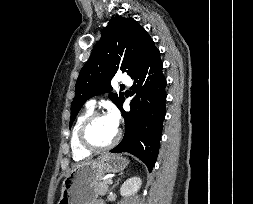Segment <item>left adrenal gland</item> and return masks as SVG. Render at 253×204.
<instances>
[{
	"label": "left adrenal gland",
	"instance_id": "left-adrenal-gland-1",
	"mask_svg": "<svg viewBox=\"0 0 253 204\" xmlns=\"http://www.w3.org/2000/svg\"><path fill=\"white\" fill-rule=\"evenodd\" d=\"M122 175H123V173L121 174V177H122ZM119 181H120V177L117 179L116 183L112 186L111 189H113L119 183Z\"/></svg>",
	"mask_w": 253,
	"mask_h": 204
}]
</instances>
